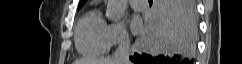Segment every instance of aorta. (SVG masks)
Listing matches in <instances>:
<instances>
[{"label":"aorta","instance_id":"obj_1","mask_svg":"<svg viewBox=\"0 0 242 64\" xmlns=\"http://www.w3.org/2000/svg\"><path fill=\"white\" fill-rule=\"evenodd\" d=\"M128 0H108L106 16L111 21H119L127 7Z\"/></svg>","mask_w":242,"mask_h":64}]
</instances>
